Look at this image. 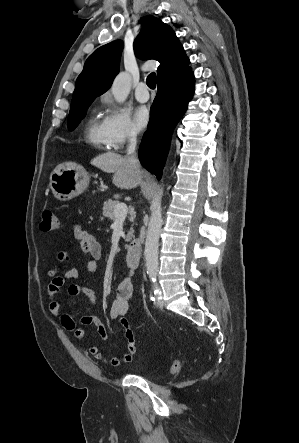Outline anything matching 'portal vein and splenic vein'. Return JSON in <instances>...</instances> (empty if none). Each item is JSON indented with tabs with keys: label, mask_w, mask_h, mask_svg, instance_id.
Listing matches in <instances>:
<instances>
[{
	"label": "portal vein and splenic vein",
	"mask_w": 299,
	"mask_h": 443,
	"mask_svg": "<svg viewBox=\"0 0 299 443\" xmlns=\"http://www.w3.org/2000/svg\"><path fill=\"white\" fill-rule=\"evenodd\" d=\"M128 213V207L124 203H119L114 209L115 220H123L126 218Z\"/></svg>",
	"instance_id": "obj_1"
}]
</instances>
